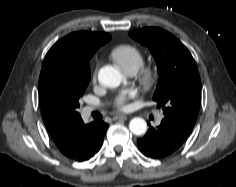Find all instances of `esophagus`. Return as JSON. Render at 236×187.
I'll use <instances>...</instances> for the list:
<instances>
[{"label":"esophagus","mask_w":236,"mask_h":187,"mask_svg":"<svg viewBox=\"0 0 236 187\" xmlns=\"http://www.w3.org/2000/svg\"><path fill=\"white\" fill-rule=\"evenodd\" d=\"M114 120H126L127 116L126 115H116L113 117Z\"/></svg>","instance_id":"34e87169"}]
</instances>
